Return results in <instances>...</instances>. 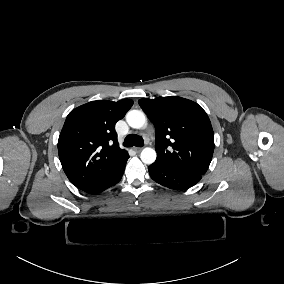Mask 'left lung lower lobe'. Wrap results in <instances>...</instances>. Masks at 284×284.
Listing matches in <instances>:
<instances>
[{
    "label": "left lung lower lobe",
    "mask_w": 284,
    "mask_h": 284,
    "mask_svg": "<svg viewBox=\"0 0 284 284\" xmlns=\"http://www.w3.org/2000/svg\"><path fill=\"white\" fill-rule=\"evenodd\" d=\"M148 170L155 182L174 190L188 189L202 178L200 174L177 170L157 161L151 164Z\"/></svg>",
    "instance_id": "0a47b994"
}]
</instances>
